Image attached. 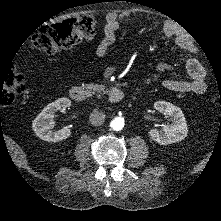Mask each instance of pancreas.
Masks as SVG:
<instances>
[{"label":"pancreas","mask_w":221,"mask_h":221,"mask_svg":"<svg viewBox=\"0 0 221 221\" xmlns=\"http://www.w3.org/2000/svg\"><path fill=\"white\" fill-rule=\"evenodd\" d=\"M100 89V85L98 84H88L86 86V91L88 92L89 96L95 94L96 92H100Z\"/></svg>","instance_id":"pancreas-1"}]
</instances>
